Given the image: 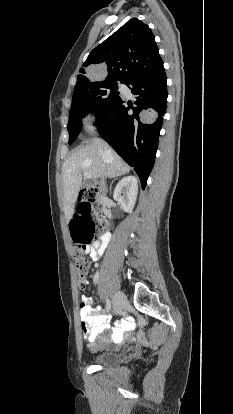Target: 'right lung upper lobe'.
<instances>
[{"label":"right lung upper lobe","instance_id":"right-lung-upper-lobe-1","mask_svg":"<svg viewBox=\"0 0 233 414\" xmlns=\"http://www.w3.org/2000/svg\"><path fill=\"white\" fill-rule=\"evenodd\" d=\"M95 64L107 74L104 79L95 80L90 76V69ZM161 69L163 62L151 29L133 18L91 51L79 71L81 74L77 76L73 95L103 82L128 83Z\"/></svg>","mask_w":233,"mask_h":414}]
</instances>
